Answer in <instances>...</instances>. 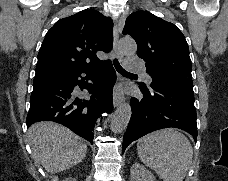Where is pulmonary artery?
Here are the masks:
<instances>
[{
    "label": "pulmonary artery",
    "mask_w": 228,
    "mask_h": 181,
    "mask_svg": "<svg viewBox=\"0 0 228 181\" xmlns=\"http://www.w3.org/2000/svg\"><path fill=\"white\" fill-rule=\"evenodd\" d=\"M132 62H138V57H125V71H145V66H132Z\"/></svg>",
    "instance_id": "1"
}]
</instances>
